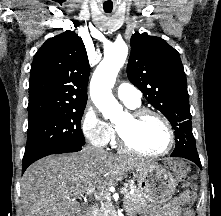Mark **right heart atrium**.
Segmentation results:
<instances>
[{
	"label": "right heart atrium",
	"instance_id": "1",
	"mask_svg": "<svg viewBox=\"0 0 221 216\" xmlns=\"http://www.w3.org/2000/svg\"><path fill=\"white\" fill-rule=\"evenodd\" d=\"M84 138L96 147H105L111 139L112 127L92 105H87L80 120Z\"/></svg>",
	"mask_w": 221,
	"mask_h": 216
}]
</instances>
